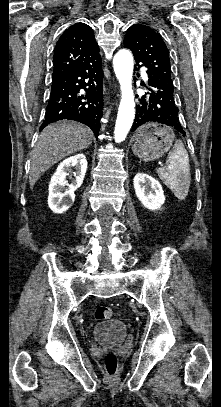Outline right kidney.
I'll use <instances>...</instances> for the list:
<instances>
[{
  "instance_id": "obj_1",
  "label": "right kidney",
  "mask_w": 221,
  "mask_h": 407,
  "mask_svg": "<svg viewBox=\"0 0 221 407\" xmlns=\"http://www.w3.org/2000/svg\"><path fill=\"white\" fill-rule=\"evenodd\" d=\"M72 168L75 169L72 172ZM87 169L84 154H77L65 159L57 167L49 183V208L56 214L66 212L75 200L74 192L83 183ZM70 179L69 183L67 179Z\"/></svg>"
}]
</instances>
